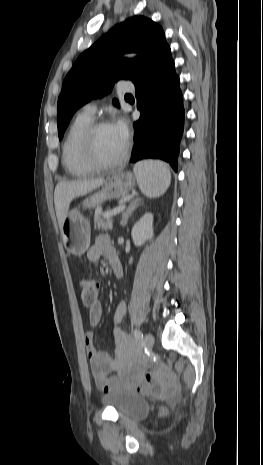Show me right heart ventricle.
Instances as JSON below:
<instances>
[{
	"label": "right heart ventricle",
	"mask_w": 263,
	"mask_h": 465,
	"mask_svg": "<svg viewBox=\"0 0 263 465\" xmlns=\"http://www.w3.org/2000/svg\"><path fill=\"white\" fill-rule=\"evenodd\" d=\"M93 118L78 114L69 126L62 144V163L67 172L74 177H84L95 170L85 163L81 155L80 140Z\"/></svg>",
	"instance_id": "e07e8e85"
}]
</instances>
